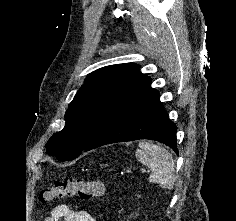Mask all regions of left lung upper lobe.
Returning <instances> with one entry per match:
<instances>
[{
    "mask_svg": "<svg viewBox=\"0 0 236 221\" xmlns=\"http://www.w3.org/2000/svg\"><path fill=\"white\" fill-rule=\"evenodd\" d=\"M138 68L117 64L89 74L68 107L64 129L45 145L47 153L63 161L79 155L110 113L148 80Z\"/></svg>",
    "mask_w": 236,
    "mask_h": 221,
    "instance_id": "obj_1",
    "label": "left lung upper lobe"
}]
</instances>
